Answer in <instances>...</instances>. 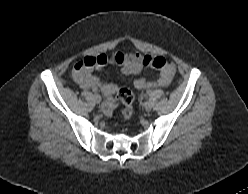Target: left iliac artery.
Instances as JSON below:
<instances>
[{
  "label": "left iliac artery",
  "instance_id": "obj_1",
  "mask_svg": "<svg viewBox=\"0 0 248 194\" xmlns=\"http://www.w3.org/2000/svg\"><path fill=\"white\" fill-rule=\"evenodd\" d=\"M150 93H151V91L149 90V91H147V94H149L150 95Z\"/></svg>",
  "mask_w": 248,
  "mask_h": 194
}]
</instances>
